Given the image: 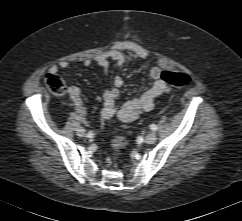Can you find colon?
I'll list each match as a JSON object with an SVG mask.
<instances>
[{
    "instance_id": "5ec220e1",
    "label": "colon",
    "mask_w": 242,
    "mask_h": 221,
    "mask_svg": "<svg viewBox=\"0 0 242 221\" xmlns=\"http://www.w3.org/2000/svg\"><path fill=\"white\" fill-rule=\"evenodd\" d=\"M160 77L165 83L178 88L187 87L191 83V77L183 72L163 71ZM44 82L48 90L54 95L61 96L66 91L65 81L57 73L46 74ZM127 145V138L123 136L115 137L111 143L114 158H119Z\"/></svg>"
}]
</instances>
